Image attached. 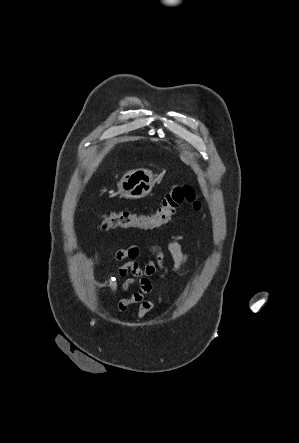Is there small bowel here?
Listing matches in <instances>:
<instances>
[{
  "mask_svg": "<svg viewBox=\"0 0 299 443\" xmlns=\"http://www.w3.org/2000/svg\"><path fill=\"white\" fill-rule=\"evenodd\" d=\"M182 239V235L174 234L168 242V249L173 258V265L170 268L165 265L162 247L159 244L152 245L148 261L144 266L137 261L141 250L135 244L127 248L117 249L114 252L116 260L125 261L117 269V274L120 277H126L121 289L127 291L132 285H138V290L118 301V309L120 311H126L128 307L137 305L136 316L142 318L156 307L155 301L146 299V296L155 288V283L151 277L157 273L161 277H166L169 274H184L191 253L182 251ZM111 289L113 293H116L117 286H112Z\"/></svg>",
  "mask_w": 299,
  "mask_h": 443,
  "instance_id": "small-bowel-1",
  "label": "small bowel"
}]
</instances>
